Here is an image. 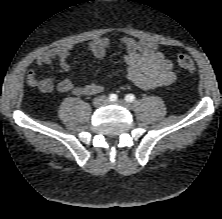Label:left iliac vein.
<instances>
[{"label": "left iliac vein", "instance_id": "left-iliac-vein-1", "mask_svg": "<svg viewBox=\"0 0 222 219\" xmlns=\"http://www.w3.org/2000/svg\"><path fill=\"white\" fill-rule=\"evenodd\" d=\"M115 104L122 106L126 109H130V107H131L130 103L125 100H118Z\"/></svg>", "mask_w": 222, "mask_h": 219}]
</instances>
